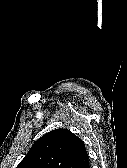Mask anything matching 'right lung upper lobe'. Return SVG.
<instances>
[{
  "instance_id": "cb5924a9",
  "label": "right lung upper lobe",
  "mask_w": 127,
  "mask_h": 168,
  "mask_svg": "<svg viewBox=\"0 0 127 168\" xmlns=\"http://www.w3.org/2000/svg\"><path fill=\"white\" fill-rule=\"evenodd\" d=\"M88 160L84 142L68 129L39 138L17 168H77Z\"/></svg>"
}]
</instances>
